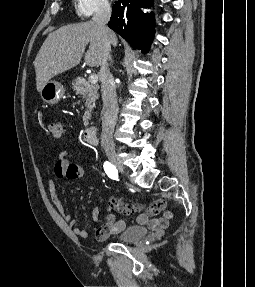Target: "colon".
<instances>
[{"mask_svg": "<svg viewBox=\"0 0 255 287\" xmlns=\"http://www.w3.org/2000/svg\"><path fill=\"white\" fill-rule=\"evenodd\" d=\"M48 129L54 138H60L64 132L63 124L57 121L50 122Z\"/></svg>", "mask_w": 255, "mask_h": 287, "instance_id": "obj_1", "label": "colon"}]
</instances>
